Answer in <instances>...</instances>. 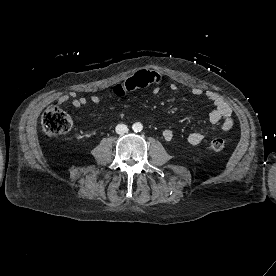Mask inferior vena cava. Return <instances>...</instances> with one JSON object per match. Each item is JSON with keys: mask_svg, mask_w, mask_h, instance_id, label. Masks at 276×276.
I'll return each mask as SVG.
<instances>
[{"mask_svg": "<svg viewBox=\"0 0 276 276\" xmlns=\"http://www.w3.org/2000/svg\"><path fill=\"white\" fill-rule=\"evenodd\" d=\"M116 133L119 134V135H123L125 134L126 132H128V128L125 124H118L116 126Z\"/></svg>", "mask_w": 276, "mask_h": 276, "instance_id": "1", "label": "inferior vena cava"}]
</instances>
